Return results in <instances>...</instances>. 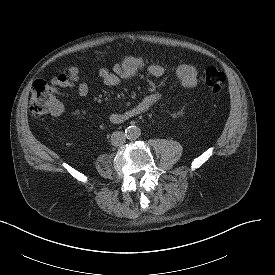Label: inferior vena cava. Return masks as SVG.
<instances>
[{
    "instance_id": "1",
    "label": "inferior vena cava",
    "mask_w": 275,
    "mask_h": 275,
    "mask_svg": "<svg viewBox=\"0 0 275 275\" xmlns=\"http://www.w3.org/2000/svg\"><path fill=\"white\" fill-rule=\"evenodd\" d=\"M126 141V136L123 132H120V131H116V132H113L112 135H111V144L113 146H121L125 143Z\"/></svg>"
}]
</instances>
